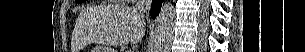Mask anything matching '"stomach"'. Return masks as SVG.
I'll return each instance as SVG.
<instances>
[{"label":"stomach","mask_w":305,"mask_h":52,"mask_svg":"<svg viewBox=\"0 0 305 52\" xmlns=\"http://www.w3.org/2000/svg\"><path fill=\"white\" fill-rule=\"evenodd\" d=\"M92 52H113V51H110L109 49L102 46H97L92 50Z\"/></svg>","instance_id":"1"}]
</instances>
